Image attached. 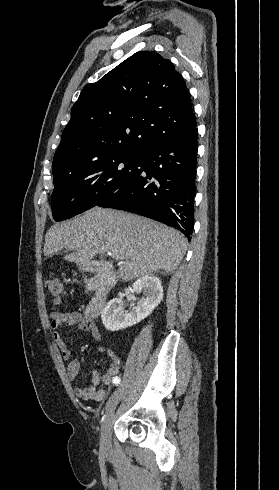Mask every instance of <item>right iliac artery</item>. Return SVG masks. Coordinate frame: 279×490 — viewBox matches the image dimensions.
I'll list each match as a JSON object with an SVG mask.
<instances>
[{
	"mask_svg": "<svg viewBox=\"0 0 279 490\" xmlns=\"http://www.w3.org/2000/svg\"><path fill=\"white\" fill-rule=\"evenodd\" d=\"M114 381H115V382H114V383H115V385H117V386H118V385H120V383H121V382H120V378H119V377H115V378H114Z\"/></svg>",
	"mask_w": 279,
	"mask_h": 490,
	"instance_id": "82829eb1",
	"label": "right iliac artery"
}]
</instances>
